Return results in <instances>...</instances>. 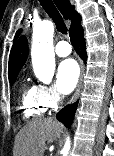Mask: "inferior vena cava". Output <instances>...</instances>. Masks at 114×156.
Returning a JSON list of instances; mask_svg holds the SVG:
<instances>
[{
  "mask_svg": "<svg viewBox=\"0 0 114 156\" xmlns=\"http://www.w3.org/2000/svg\"><path fill=\"white\" fill-rule=\"evenodd\" d=\"M64 96H58V104L61 106L63 104Z\"/></svg>",
  "mask_w": 114,
  "mask_h": 156,
  "instance_id": "1",
  "label": "inferior vena cava"
}]
</instances>
